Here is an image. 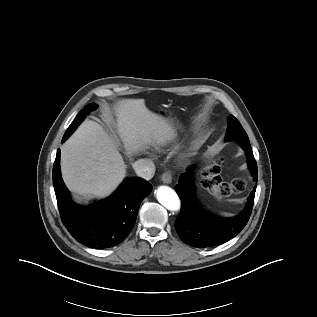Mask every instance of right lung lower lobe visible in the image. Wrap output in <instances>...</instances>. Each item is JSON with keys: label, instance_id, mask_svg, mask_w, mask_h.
I'll return each mask as SVG.
<instances>
[{"label": "right lung lower lobe", "instance_id": "obj_1", "mask_svg": "<svg viewBox=\"0 0 317 317\" xmlns=\"http://www.w3.org/2000/svg\"><path fill=\"white\" fill-rule=\"evenodd\" d=\"M53 186L67 230L78 242L97 249L110 248L124 241L134 227L140 203L152 189L147 181L129 177L107 199L88 207L77 205L61 178L60 150L53 166Z\"/></svg>", "mask_w": 317, "mask_h": 317}]
</instances>
